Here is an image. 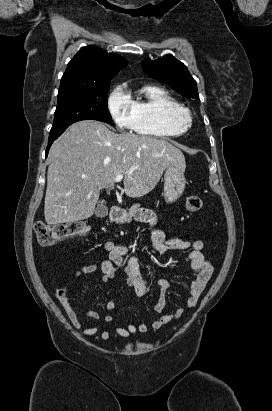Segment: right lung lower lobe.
<instances>
[{
  "label": "right lung lower lobe",
  "mask_w": 272,
  "mask_h": 411,
  "mask_svg": "<svg viewBox=\"0 0 272 411\" xmlns=\"http://www.w3.org/2000/svg\"><path fill=\"white\" fill-rule=\"evenodd\" d=\"M57 138H58V137H57ZM57 138L49 139L48 146H47V149H46V157H47V155H48L49 149H50L53 141H54L55 139H57Z\"/></svg>",
  "instance_id": "obj_1"
}]
</instances>
